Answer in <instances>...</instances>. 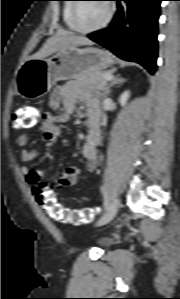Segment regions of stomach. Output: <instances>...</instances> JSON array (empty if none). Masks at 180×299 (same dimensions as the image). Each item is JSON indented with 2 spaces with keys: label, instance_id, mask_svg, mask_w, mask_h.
<instances>
[{
  "label": "stomach",
  "instance_id": "0dacf381",
  "mask_svg": "<svg viewBox=\"0 0 180 299\" xmlns=\"http://www.w3.org/2000/svg\"><path fill=\"white\" fill-rule=\"evenodd\" d=\"M114 63L112 55L99 48H65L47 59H28L17 72V91L23 98L38 99L57 81L80 79Z\"/></svg>",
  "mask_w": 180,
  "mask_h": 299
}]
</instances>
